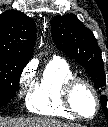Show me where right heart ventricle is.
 Instances as JSON below:
<instances>
[{
    "mask_svg": "<svg viewBox=\"0 0 108 127\" xmlns=\"http://www.w3.org/2000/svg\"><path fill=\"white\" fill-rule=\"evenodd\" d=\"M74 77L69 64L59 58L48 62L27 99L30 111L39 115L74 118L63 102V88Z\"/></svg>",
    "mask_w": 108,
    "mask_h": 127,
    "instance_id": "1",
    "label": "right heart ventricle"
}]
</instances>
